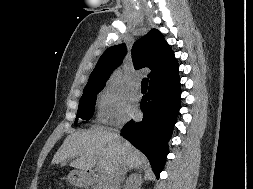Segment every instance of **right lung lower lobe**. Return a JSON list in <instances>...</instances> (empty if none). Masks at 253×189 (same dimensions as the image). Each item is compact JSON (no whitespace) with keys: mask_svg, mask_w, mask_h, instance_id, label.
<instances>
[{"mask_svg":"<svg viewBox=\"0 0 253 189\" xmlns=\"http://www.w3.org/2000/svg\"><path fill=\"white\" fill-rule=\"evenodd\" d=\"M180 96L178 72L149 83L148 93L142 97L140 104L143 120H131L121 130L122 136L147 156L157 177L168 154L167 143L180 108Z\"/></svg>","mask_w":253,"mask_h":189,"instance_id":"98d812e1","label":"right lung lower lobe"}]
</instances>
